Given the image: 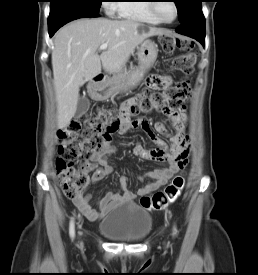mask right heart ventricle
Listing matches in <instances>:
<instances>
[{
	"label": "right heart ventricle",
	"mask_w": 258,
	"mask_h": 275,
	"mask_svg": "<svg viewBox=\"0 0 258 275\" xmlns=\"http://www.w3.org/2000/svg\"><path fill=\"white\" fill-rule=\"evenodd\" d=\"M120 2L121 3L113 4V10H115L120 17L152 25L160 24L150 10L151 3L149 2H152L151 0H123Z\"/></svg>",
	"instance_id": "right-heart-ventricle-1"
}]
</instances>
